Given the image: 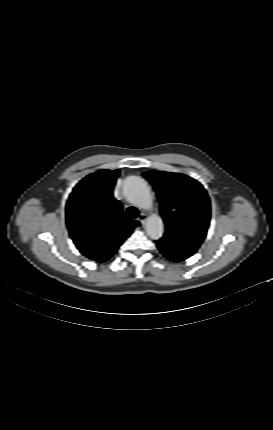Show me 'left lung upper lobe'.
<instances>
[{
    "label": "left lung upper lobe",
    "instance_id": "left-lung-upper-lobe-1",
    "mask_svg": "<svg viewBox=\"0 0 273 430\" xmlns=\"http://www.w3.org/2000/svg\"><path fill=\"white\" fill-rule=\"evenodd\" d=\"M143 176L153 185L160 200L166 225L164 236L155 241L167 258H189L206 237L211 208L207 192L195 179L162 171H148Z\"/></svg>",
    "mask_w": 273,
    "mask_h": 430
}]
</instances>
